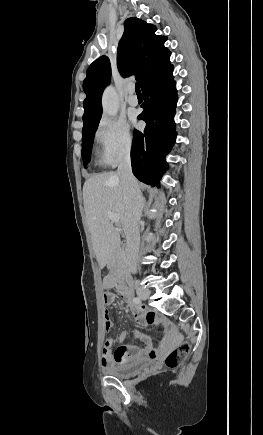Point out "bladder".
I'll list each match as a JSON object with an SVG mask.
<instances>
[{"label":"bladder","instance_id":"bladder-1","mask_svg":"<svg viewBox=\"0 0 263 435\" xmlns=\"http://www.w3.org/2000/svg\"><path fill=\"white\" fill-rule=\"evenodd\" d=\"M149 363L148 360H140L133 363L117 364L105 369L106 374L111 375L116 378H128L141 369H143Z\"/></svg>","mask_w":263,"mask_h":435}]
</instances>
